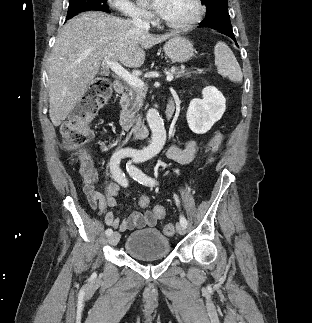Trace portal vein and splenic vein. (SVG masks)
<instances>
[{
	"mask_svg": "<svg viewBox=\"0 0 312 323\" xmlns=\"http://www.w3.org/2000/svg\"><path fill=\"white\" fill-rule=\"evenodd\" d=\"M104 66H108V68H111L112 72H115L119 78H123L125 82H128L130 86H135V88H143L144 82L140 80V78H137V76H132V74H129L125 68H122L118 62H104ZM174 76L173 74H169L167 76L166 80L167 82H171L173 80Z\"/></svg>",
	"mask_w": 312,
	"mask_h": 323,
	"instance_id": "portal-vein-and-splenic-vein-1",
	"label": "portal vein and splenic vein"
}]
</instances>
